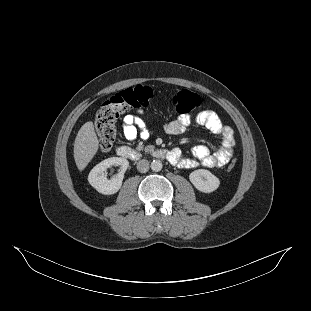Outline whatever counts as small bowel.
<instances>
[{
  "label": "small bowel",
  "instance_id": "c3829d8e",
  "mask_svg": "<svg viewBox=\"0 0 311 311\" xmlns=\"http://www.w3.org/2000/svg\"><path fill=\"white\" fill-rule=\"evenodd\" d=\"M191 124L203 126L213 134L220 136L218 146L211 151L206 145H196L192 149V157H183L178 149H174L172 150L174 160L171 163L186 169L198 166L220 168L226 165L233 155L235 146L233 130L223 124L215 112L204 110L193 115H180L166 125V131L173 135L180 134ZM122 133L127 140H134L138 135L147 139L151 135L145 122L132 114L123 118Z\"/></svg>",
  "mask_w": 311,
  "mask_h": 311
}]
</instances>
